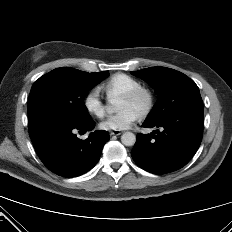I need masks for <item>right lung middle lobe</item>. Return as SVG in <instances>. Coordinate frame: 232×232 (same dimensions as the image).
I'll return each mask as SVG.
<instances>
[{
	"label": "right lung middle lobe",
	"instance_id": "obj_1",
	"mask_svg": "<svg viewBox=\"0 0 232 232\" xmlns=\"http://www.w3.org/2000/svg\"><path fill=\"white\" fill-rule=\"evenodd\" d=\"M108 72L88 73L62 67L41 76L33 84L28 118H56L70 122L91 120L84 105L87 91L106 77Z\"/></svg>",
	"mask_w": 232,
	"mask_h": 232
}]
</instances>
